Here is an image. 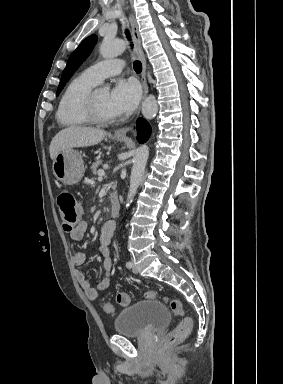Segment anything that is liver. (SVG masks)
Here are the masks:
<instances>
[{"label":"liver","mask_w":283,"mask_h":384,"mask_svg":"<svg viewBox=\"0 0 283 384\" xmlns=\"http://www.w3.org/2000/svg\"><path fill=\"white\" fill-rule=\"evenodd\" d=\"M107 132L96 128H82V126H69L54 136L50 146V158L55 160L57 154L68 148H87L95 146L104 140Z\"/></svg>","instance_id":"1"}]
</instances>
